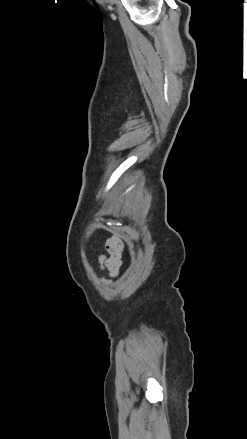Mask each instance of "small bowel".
Masks as SVG:
<instances>
[{
  "instance_id": "obj_1",
  "label": "small bowel",
  "mask_w": 247,
  "mask_h": 439,
  "mask_svg": "<svg viewBox=\"0 0 247 439\" xmlns=\"http://www.w3.org/2000/svg\"><path fill=\"white\" fill-rule=\"evenodd\" d=\"M106 249L108 251L109 256L100 255L99 256V264L101 269H105L109 272L110 276H116L122 265V255L124 246L118 237H112L106 242Z\"/></svg>"
}]
</instances>
